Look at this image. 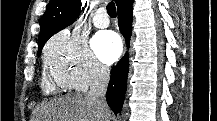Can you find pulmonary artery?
Masks as SVG:
<instances>
[{
  "mask_svg": "<svg viewBox=\"0 0 217 121\" xmlns=\"http://www.w3.org/2000/svg\"><path fill=\"white\" fill-rule=\"evenodd\" d=\"M110 23L109 17L104 9L100 8L96 11L93 24L97 28H106Z\"/></svg>",
  "mask_w": 217,
  "mask_h": 121,
  "instance_id": "e3ab8cb5",
  "label": "pulmonary artery"
}]
</instances>
